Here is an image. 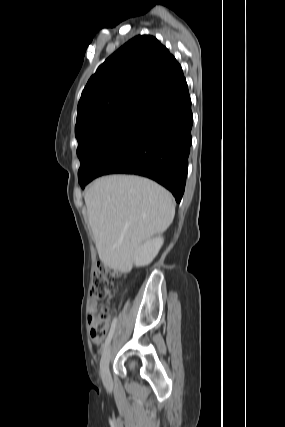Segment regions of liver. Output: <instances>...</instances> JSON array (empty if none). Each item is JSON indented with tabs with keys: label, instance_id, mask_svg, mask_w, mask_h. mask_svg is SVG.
<instances>
[{
	"label": "liver",
	"instance_id": "1",
	"mask_svg": "<svg viewBox=\"0 0 285 427\" xmlns=\"http://www.w3.org/2000/svg\"><path fill=\"white\" fill-rule=\"evenodd\" d=\"M87 216L100 260L129 269L142 242L172 223V195L143 177L109 175L96 179L84 196Z\"/></svg>",
	"mask_w": 285,
	"mask_h": 427
}]
</instances>
